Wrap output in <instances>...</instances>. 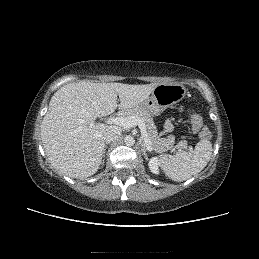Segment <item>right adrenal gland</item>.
<instances>
[{
    "label": "right adrenal gland",
    "instance_id": "right-adrenal-gland-1",
    "mask_svg": "<svg viewBox=\"0 0 259 259\" xmlns=\"http://www.w3.org/2000/svg\"><path fill=\"white\" fill-rule=\"evenodd\" d=\"M108 144H110V143L107 142V143L104 145V154L106 153V152H105V150H106L105 148L107 147Z\"/></svg>",
    "mask_w": 259,
    "mask_h": 259
}]
</instances>
